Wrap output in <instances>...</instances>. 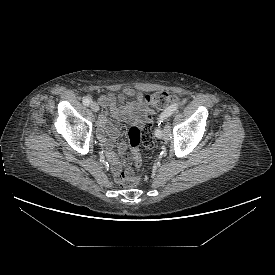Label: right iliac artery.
<instances>
[{
	"instance_id": "1",
	"label": "right iliac artery",
	"mask_w": 275,
	"mask_h": 275,
	"mask_svg": "<svg viewBox=\"0 0 275 275\" xmlns=\"http://www.w3.org/2000/svg\"><path fill=\"white\" fill-rule=\"evenodd\" d=\"M91 102H92L91 99L88 98V97H85V98L83 99V104H84L85 106H89Z\"/></svg>"
}]
</instances>
